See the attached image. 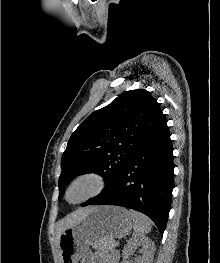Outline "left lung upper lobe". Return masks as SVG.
<instances>
[{
  "instance_id": "left-lung-upper-lobe-1",
  "label": "left lung upper lobe",
  "mask_w": 220,
  "mask_h": 263,
  "mask_svg": "<svg viewBox=\"0 0 220 263\" xmlns=\"http://www.w3.org/2000/svg\"><path fill=\"white\" fill-rule=\"evenodd\" d=\"M164 121L159 104L144 89L126 91L90 114L71 135L62 155L59 198L72 179L91 172L104 177L102 193L107 191L139 145Z\"/></svg>"
}]
</instances>
